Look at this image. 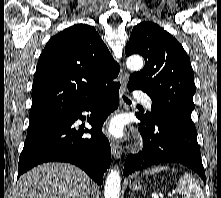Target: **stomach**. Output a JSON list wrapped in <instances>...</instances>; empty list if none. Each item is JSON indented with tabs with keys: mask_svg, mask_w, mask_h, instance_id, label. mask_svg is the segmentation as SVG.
Wrapping results in <instances>:
<instances>
[{
	"mask_svg": "<svg viewBox=\"0 0 221 198\" xmlns=\"http://www.w3.org/2000/svg\"><path fill=\"white\" fill-rule=\"evenodd\" d=\"M130 189L133 190V191H139L141 189V185L137 184V183H134L130 186Z\"/></svg>",
	"mask_w": 221,
	"mask_h": 198,
	"instance_id": "obj_1",
	"label": "stomach"
}]
</instances>
